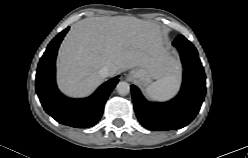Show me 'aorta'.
<instances>
[{"label":"aorta","instance_id":"762f6f07","mask_svg":"<svg viewBox=\"0 0 248 158\" xmlns=\"http://www.w3.org/2000/svg\"><path fill=\"white\" fill-rule=\"evenodd\" d=\"M116 91L119 95H127L130 92V86L125 81H120L116 86Z\"/></svg>","mask_w":248,"mask_h":158}]
</instances>
